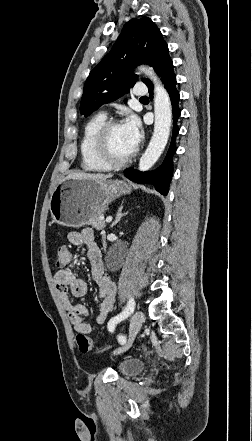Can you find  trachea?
Here are the masks:
<instances>
[{"label":"trachea","mask_w":252,"mask_h":441,"mask_svg":"<svg viewBox=\"0 0 252 441\" xmlns=\"http://www.w3.org/2000/svg\"><path fill=\"white\" fill-rule=\"evenodd\" d=\"M146 99H148V97L146 96L140 98V100H146Z\"/></svg>","instance_id":"3493384b"}]
</instances>
